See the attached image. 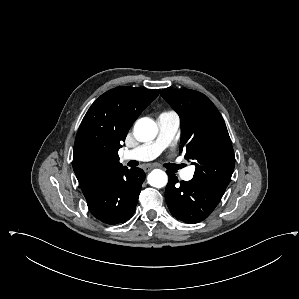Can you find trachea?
I'll use <instances>...</instances> for the list:
<instances>
[{
    "instance_id": "obj_1",
    "label": "trachea",
    "mask_w": 299,
    "mask_h": 299,
    "mask_svg": "<svg viewBox=\"0 0 299 299\" xmlns=\"http://www.w3.org/2000/svg\"><path fill=\"white\" fill-rule=\"evenodd\" d=\"M138 163L136 161H131L130 166H136Z\"/></svg>"
}]
</instances>
